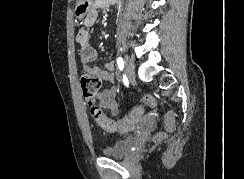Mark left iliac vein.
<instances>
[{"label":"left iliac vein","instance_id":"left-iliac-vein-1","mask_svg":"<svg viewBox=\"0 0 244 179\" xmlns=\"http://www.w3.org/2000/svg\"><path fill=\"white\" fill-rule=\"evenodd\" d=\"M125 73L129 80H134L136 77L134 64L130 60L125 63Z\"/></svg>","mask_w":244,"mask_h":179}]
</instances>
